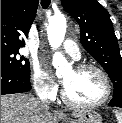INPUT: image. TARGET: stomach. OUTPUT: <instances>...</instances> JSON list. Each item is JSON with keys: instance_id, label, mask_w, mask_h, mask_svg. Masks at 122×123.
Masks as SVG:
<instances>
[{"instance_id": "obj_1", "label": "stomach", "mask_w": 122, "mask_h": 123, "mask_svg": "<svg viewBox=\"0 0 122 123\" xmlns=\"http://www.w3.org/2000/svg\"><path fill=\"white\" fill-rule=\"evenodd\" d=\"M60 120L63 123H102L101 116L93 111H83L76 119L61 116Z\"/></svg>"}]
</instances>
